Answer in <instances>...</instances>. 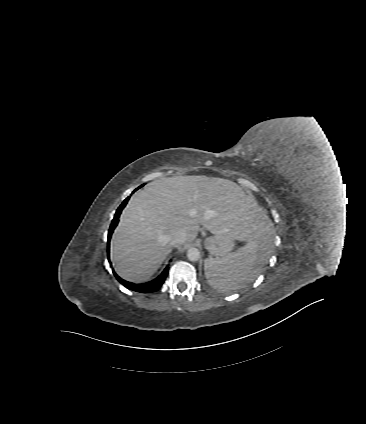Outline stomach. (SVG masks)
Listing matches in <instances>:
<instances>
[{"instance_id": "obj_1", "label": "stomach", "mask_w": 366, "mask_h": 424, "mask_svg": "<svg viewBox=\"0 0 366 424\" xmlns=\"http://www.w3.org/2000/svg\"><path fill=\"white\" fill-rule=\"evenodd\" d=\"M235 238L226 234H217L204 240L205 248L216 258L223 257L229 253L235 244Z\"/></svg>"}]
</instances>
